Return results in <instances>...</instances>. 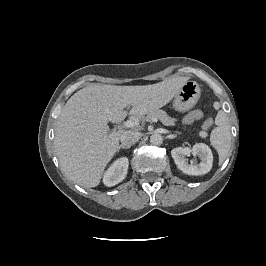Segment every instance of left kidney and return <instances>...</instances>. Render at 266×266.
I'll return each mask as SVG.
<instances>
[{"instance_id": "obj_1", "label": "left kidney", "mask_w": 266, "mask_h": 266, "mask_svg": "<svg viewBox=\"0 0 266 266\" xmlns=\"http://www.w3.org/2000/svg\"><path fill=\"white\" fill-rule=\"evenodd\" d=\"M191 153L200 158L201 162L199 164L188 163L186 157L190 156ZM171 155L177 167L188 175H203L212 168L213 155L211 149L203 143L195 144L192 149L189 147L174 148Z\"/></svg>"}]
</instances>
